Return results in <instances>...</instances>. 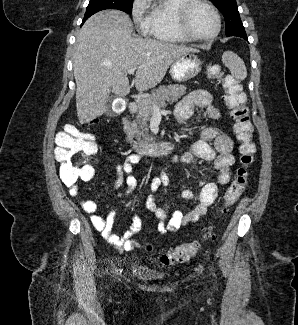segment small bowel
<instances>
[{
  "mask_svg": "<svg viewBox=\"0 0 298 325\" xmlns=\"http://www.w3.org/2000/svg\"><path fill=\"white\" fill-rule=\"evenodd\" d=\"M195 107L204 109L213 120L220 118V111L213 105L210 93L205 90H195L185 96L177 105V121L184 122L189 119ZM210 142H213V147L210 145ZM232 151V139L218 128L209 126L201 131L200 139L187 152L172 159V164L178 162L193 163L196 159H203L212 162L215 170L218 172L214 180L210 178L201 180L197 191L183 187L182 196L194 202L193 208L187 213H183L178 209H174L169 213V210L172 208L171 205L169 203L159 204L157 201V192L159 190L166 191L169 186L170 180L166 170L170 164H167L159 175L151 180L150 193L146 198L145 204L147 209L158 219L157 230L161 235L188 226L206 214L208 207L214 203L218 196L219 186L225 185L231 180V168L235 162ZM141 158L140 154L132 153L116 166L117 180L115 187L120 188L126 185L125 194L127 196L131 195L137 186V179L133 175V170ZM69 192L72 196H77L79 194V187L77 185L70 186ZM81 207L89 215L93 227L117 250L131 251L138 246L133 240V236L139 233L142 228V221L138 215H134L132 224L125 233L122 236H118L112 233L116 214L115 210H112L106 218H103L96 214L97 204L94 201L83 200Z\"/></svg>",
  "mask_w": 298,
  "mask_h": 325,
  "instance_id": "small-bowel-1",
  "label": "small bowel"
}]
</instances>
